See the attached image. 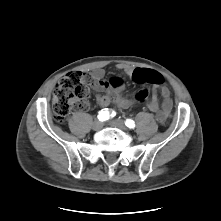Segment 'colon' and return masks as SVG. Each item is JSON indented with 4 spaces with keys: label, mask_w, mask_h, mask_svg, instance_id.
I'll return each mask as SVG.
<instances>
[{
    "label": "colon",
    "mask_w": 221,
    "mask_h": 221,
    "mask_svg": "<svg viewBox=\"0 0 221 221\" xmlns=\"http://www.w3.org/2000/svg\"><path fill=\"white\" fill-rule=\"evenodd\" d=\"M134 81L144 79L147 83L155 86L164 83L163 76L154 70L136 69L132 74ZM90 94L89 82L79 72L66 74L59 82L53 96L52 106L56 121L63 123L70 114L73 107ZM149 89L140 88L135 94V99L139 102L147 100Z\"/></svg>",
    "instance_id": "colon-1"
}]
</instances>
